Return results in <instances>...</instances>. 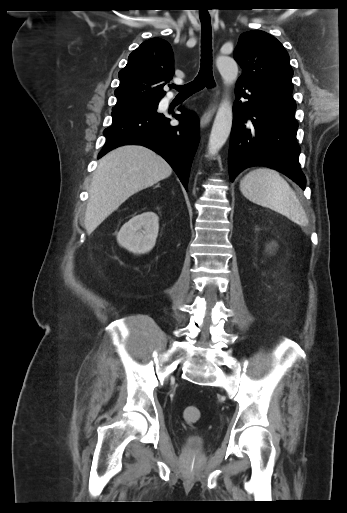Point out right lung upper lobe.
I'll return each mask as SVG.
<instances>
[{
	"label": "right lung upper lobe",
	"mask_w": 347,
	"mask_h": 513,
	"mask_svg": "<svg viewBox=\"0 0 347 513\" xmlns=\"http://www.w3.org/2000/svg\"><path fill=\"white\" fill-rule=\"evenodd\" d=\"M173 52L170 44L160 38L143 42L128 58L119 72L120 85L115 90L116 106L130 105L164 95V85L172 79Z\"/></svg>",
	"instance_id": "obj_1"
}]
</instances>
